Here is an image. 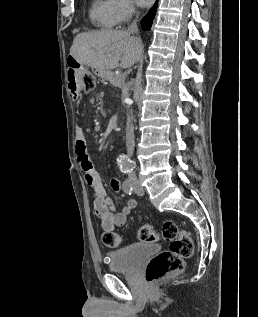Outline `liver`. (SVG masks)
Masks as SVG:
<instances>
[{"instance_id":"obj_1","label":"liver","mask_w":258,"mask_h":317,"mask_svg":"<svg viewBox=\"0 0 258 317\" xmlns=\"http://www.w3.org/2000/svg\"><path fill=\"white\" fill-rule=\"evenodd\" d=\"M128 30H93L79 32L73 40L70 54L80 62L98 70H111L116 66H132L142 50V42L130 36ZM121 60V62H119Z\"/></svg>"}]
</instances>
